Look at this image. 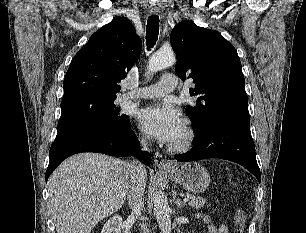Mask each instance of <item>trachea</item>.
<instances>
[{"mask_svg":"<svg viewBox=\"0 0 306 233\" xmlns=\"http://www.w3.org/2000/svg\"><path fill=\"white\" fill-rule=\"evenodd\" d=\"M159 34V17L157 15H151L148 18L146 26V44L148 49L152 48L158 40Z\"/></svg>","mask_w":306,"mask_h":233,"instance_id":"1","label":"trachea"}]
</instances>
